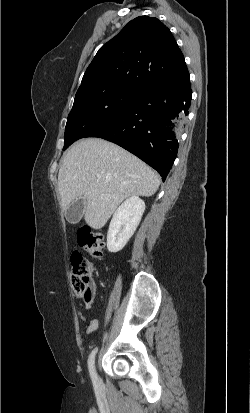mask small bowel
I'll list each match as a JSON object with an SVG mask.
<instances>
[{
  "label": "small bowel",
  "mask_w": 250,
  "mask_h": 413,
  "mask_svg": "<svg viewBox=\"0 0 250 413\" xmlns=\"http://www.w3.org/2000/svg\"><path fill=\"white\" fill-rule=\"evenodd\" d=\"M97 326H98L97 320H91L87 326L86 333L87 334L92 333L97 328Z\"/></svg>",
  "instance_id": "small-bowel-1"
}]
</instances>
